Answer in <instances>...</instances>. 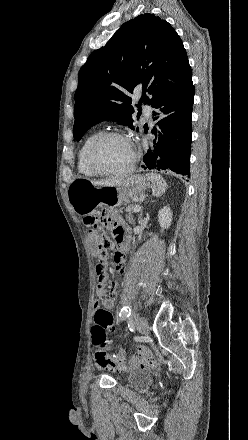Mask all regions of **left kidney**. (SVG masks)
Wrapping results in <instances>:
<instances>
[{
  "instance_id": "left-kidney-1",
  "label": "left kidney",
  "mask_w": 248,
  "mask_h": 440,
  "mask_svg": "<svg viewBox=\"0 0 248 440\" xmlns=\"http://www.w3.org/2000/svg\"><path fill=\"white\" fill-rule=\"evenodd\" d=\"M158 222L163 229H168L172 222V212L170 207H163L158 212Z\"/></svg>"
}]
</instances>
